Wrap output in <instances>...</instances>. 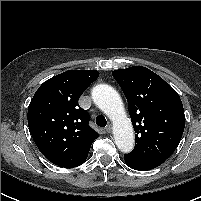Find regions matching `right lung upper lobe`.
Here are the masks:
<instances>
[{
  "label": "right lung upper lobe",
  "instance_id": "right-lung-upper-lobe-1",
  "mask_svg": "<svg viewBox=\"0 0 201 201\" xmlns=\"http://www.w3.org/2000/svg\"><path fill=\"white\" fill-rule=\"evenodd\" d=\"M99 76L96 70H68L45 81L28 107V126L40 152L61 167L85 162L98 133L78 100Z\"/></svg>",
  "mask_w": 201,
  "mask_h": 201
}]
</instances>
